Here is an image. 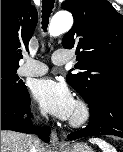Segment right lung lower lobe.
<instances>
[{"mask_svg": "<svg viewBox=\"0 0 123 152\" xmlns=\"http://www.w3.org/2000/svg\"><path fill=\"white\" fill-rule=\"evenodd\" d=\"M30 98L27 90L19 96H1V130H13L24 133L36 132L48 143L50 128H32L29 118ZM28 114V118L25 115Z\"/></svg>", "mask_w": 123, "mask_h": 152, "instance_id": "98d812e1", "label": "right lung lower lobe"}]
</instances>
